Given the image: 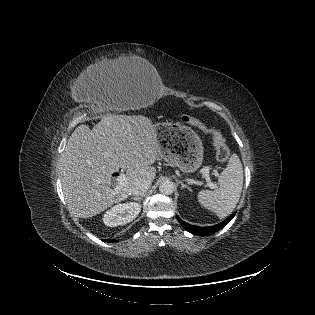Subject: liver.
Returning <instances> with one entry per match:
<instances>
[{
  "instance_id": "obj_1",
  "label": "liver",
  "mask_w": 315,
  "mask_h": 315,
  "mask_svg": "<svg viewBox=\"0 0 315 315\" xmlns=\"http://www.w3.org/2000/svg\"><path fill=\"white\" fill-rule=\"evenodd\" d=\"M158 156L159 142L146 116L110 114L92 130L79 125L60 158V179L69 209L78 218H90L125 200L136 183L155 179L152 165ZM119 168L126 170V181L114 195L112 175Z\"/></svg>"
}]
</instances>
